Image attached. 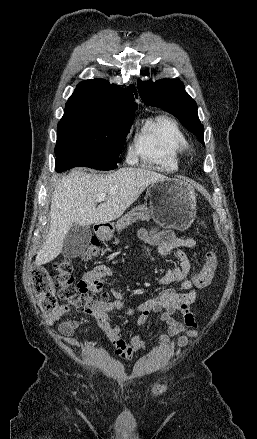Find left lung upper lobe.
<instances>
[{"instance_id":"left-lung-upper-lobe-1","label":"left lung upper lobe","mask_w":257,"mask_h":439,"mask_svg":"<svg viewBox=\"0 0 257 439\" xmlns=\"http://www.w3.org/2000/svg\"><path fill=\"white\" fill-rule=\"evenodd\" d=\"M137 84L139 95L147 105L162 108L173 114L204 145V128L198 118L197 104L185 92L180 80H139Z\"/></svg>"}]
</instances>
